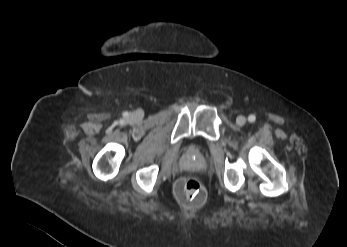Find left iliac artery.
<instances>
[{
    "label": "left iliac artery",
    "instance_id": "obj_1",
    "mask_svg": "<svg viewBox=\"0 0 347 247\" xmlns=\"http://www.w3.org/2000/svg\"><path fill=\"white\" fill-rule=\"evenodd\" d=\"M255 120H256L255 115H253V114L249 115V117H248V121H249L250 123L255 122Z\"/></svg>",
    "mask_w": 347,
    "mask_h": 247
}]
</instances>
